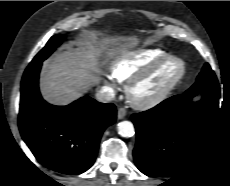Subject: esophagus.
Here are the masks:
<instances>
[{
    "label": "esophagus",
    "mask_w": 230,
    "mask_h": 186,
    "mask_svg": "<svg viewBox=\"0 0 230 186\" xmlns=\"http://www.w3.org/2000/svg\"><path fill=\"white\" fill-rule=\"evenodd\" d=\"M127 115V111L124 108H119L117 111L118 119H123Z\"/></svg>",
    "instance_id": "34e87169"
}]
</instances>
